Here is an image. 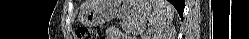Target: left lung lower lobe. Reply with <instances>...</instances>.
<instances>
[{
  "mask_svg": "<svg viewBox=\"0 0 249 39\" xmlns=\"http://www.w3.org/2000/svg\"><path fill=\"white\" fill-rule=\"evenodd\" d=\"M170 2L174 5L178 13L180 14L181 18L183 17V11L185 6L184 0H170Z\"/></svg>",
  "mask_w": 249,
  "mask_h": 39,
  "instance_id": "0a47b994",
  "label": "left lung lower lobe"
}]
</instances>
